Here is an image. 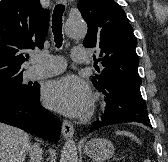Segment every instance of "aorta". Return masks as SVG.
I'll list each match as a JSON object with an SVG mask.
<instances>
[{
    "label": "aorta",
    "mask_w": 168,
    "mask_h": 162,
    "mask_svg": "<svg viewBox=\"0 0 168 162\" xmlns=\"http://www.w3.org/2000/svg\"><path fill=\"white\" fill-rule=\"evenodd\" d=\"M65 33L70 38H83L87 33V25L82 19H68L65 24ZM60 162H78L77 146L74 140L65 142Z\"/></svg>",
    "instance_id": "obj_1"
}]
</instances>
